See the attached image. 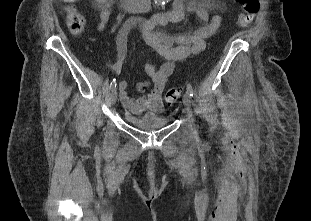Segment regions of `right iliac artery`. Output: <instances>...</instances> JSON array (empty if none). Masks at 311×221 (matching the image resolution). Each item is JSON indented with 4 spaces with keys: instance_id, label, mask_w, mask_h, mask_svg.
Returning <instances> with one entry per match:
<instances>
[{
    "instance_id": "obj_1",
    "label": "right iliac artery",
    "mask_w": 311,
    "mask_h": 221,
    "mask_svg": "<svg viewBox=\"0 0 311 221\" xmlns=\"http://www.w3.org/2000/svg\"><path fill=\"white\" fill-rule=\"evenodd\" d=\"M116 88V79H113V81L110 84V89Z\"/></svg>"
}]
</instances>
